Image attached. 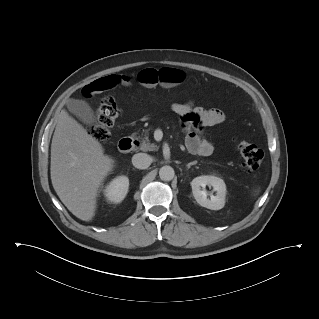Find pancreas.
Returning a JSON list of instances; mask_svg holds the SVG:
<instances>
[{
	"instance_id": "cf45deb5",
	"label": "pancreas",
	"mask_w": 319,
	"mask_h": 319,
	"mask_svg": "<svg viewBox=\"0 0 319 319\" xmlns=\"http://www.w3.org/2000/svg\"><path fill=\"white\" fill-rule=\"evenodd\" d=\"M140 150L142 151H157L158 146L154 143H151L149 140V130L144 132L143 137L141 138Z\"/></svg>"
}]
</instances>
